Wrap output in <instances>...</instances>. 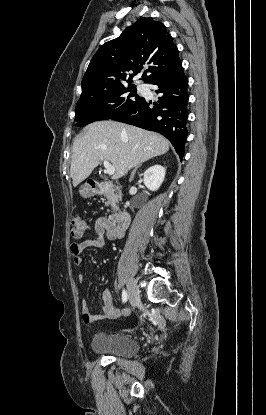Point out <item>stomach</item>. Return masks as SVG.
I'll list each match as a JSON object with an SVG mask.
<instances>
[{"mask_svg": "<svg viewBox=\"0 0 266 415\" xmlns=\"http://www.w3.org/2000/svg\"><path fill=\"white\" fill-rule=\"evenodd\" d=\"M79 193L83 198H90L95 195L96 191L85 183L80 187Z\"/></svg>", "mask_w": 266, "mask_h": 415, "instance_id": "stomach-1", "label": "stomach"}]
</instances>
